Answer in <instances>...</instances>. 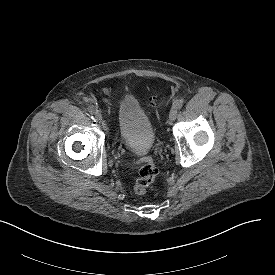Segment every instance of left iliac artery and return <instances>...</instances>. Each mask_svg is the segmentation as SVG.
Segmentation results:
<instances>
[{
  "mask_svg": "<svg viewBox=\"0 0 275 275\" xmlns=\"http://www.w3.org/2000/svg\"><path fill=\"white\" fill-rule=\"evenodd\" d=\"M182 106H183V101L182 100L178 99L174 102V107L176 109H181Z\"/></svg>",
  "mask_w": 275,
  "mask_h": 275,
  "instance_id": "44dca946",
  "label": "left iliac artery"
}]
</instances>
